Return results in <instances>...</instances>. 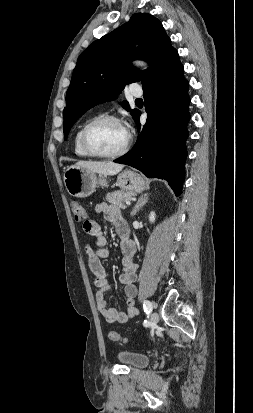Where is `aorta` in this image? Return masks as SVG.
<instances>
[{
	"instance_id": "aorta-1",
	"label": "aorta",
	"mask_w": 253,
	"mask_h": 413,
	"mask_svg": "<svg viewBox=\"0 0 253 413\" xmlns=\"http://www.w3.org/2000/svg\"><path fill=\"white\" fill-rule=\"evenodd\" d=\"M134 64L137 65V66H140V67H144V66H145V63L142 62V61H135Z\"/></svg>"
}]
</instances>
